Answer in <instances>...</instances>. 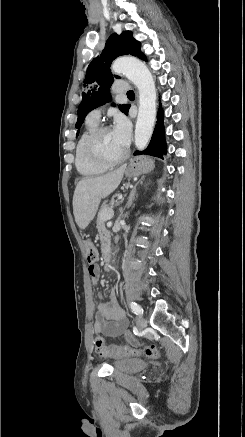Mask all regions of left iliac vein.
I'll list each match as a JSON object with an SVG mask.
<instances>
[{
    "label": "left iliac vein",
    "instance_id": "left-iliac-vein-1",
    "mask_svg": "<svg viewBox=\"0 0 245 437\" xmlns=\"http://www.w3.org/2000/svg\"><path fill=\"white\" fill-rule=\"evenodd\" d=\"M137 325L139 329L142 330L146 326V320L143 317L139 316L137 318Z\"/></svg>",
    "mask_w": 245,
    "mask_h": 437
}]
</instances>
